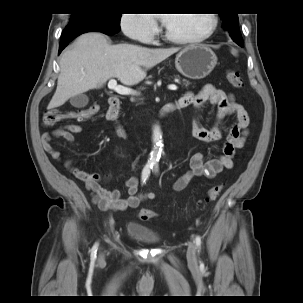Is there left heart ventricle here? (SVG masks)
<instances>
[{
  "label": "left heart ventricle",
  "instance_id": "obj_1",
  "mask_svg": "<svg viewBox=\"0 0 303 303\" xmlns=\"http://www.w3.org/2000/svg\"><path fill=\"white\" fill-rule=\"evenodd\" d=\"M166 28L180 37H193L204 33L211 25L209 14H168Z\"/></svg>",
  "mask_w": 303,
  "mask_h": 303
}]
</instances>
